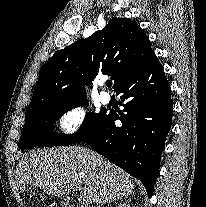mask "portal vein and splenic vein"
Listing matches in <instances>:
<instances>
[{
  "instance_id": "obj_1",
  "label": "portal vein and splenic vein",
  "mask_w": 206,
  "mask_h": 207,
  "mask_svg": "<svg viewBox=\"0 0 206 207\" xmlns=\"http://www.w3.org/2000/svg\"><path fill=\"white\" fill-rule=\"evenodd\" d=\"M70 187L74 190V191H78L79 190V192H80V194H79V198H80V200H82L83 202H88V200H87V198H86V194H84L83 192H82V190H81V188H80V186H78V185H70Z\"/></svg>"
}]
</instances>
